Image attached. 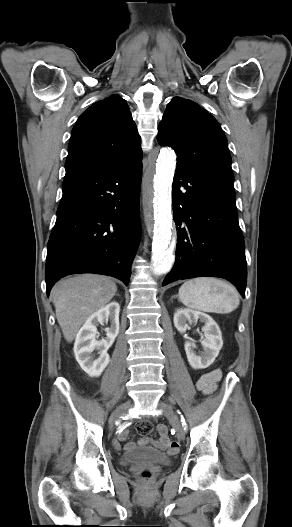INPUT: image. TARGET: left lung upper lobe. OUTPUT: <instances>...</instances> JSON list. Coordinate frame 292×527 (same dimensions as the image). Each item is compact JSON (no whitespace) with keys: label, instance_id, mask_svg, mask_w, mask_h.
Here are the masks:
<instances>
[{"label":"left lung upper lobe","instance_id":"obj_1","mask_svg":"<svg viewBox=\"0 0 292 527\" xmlns=\"http://www.w3.org/2000/svg\"><path fill=\"white\" fill-rule=\"evenodd\" d=\"M158 130V142L177 153V168L234 179L226 136L216 119L197 103L174 97Z\"/></svg>","mask_w":292,"mask_h":527}]
</instances>
